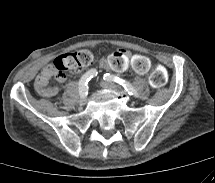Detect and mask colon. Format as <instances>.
<instances>
[{"label": "colon", "mask_w": 215, "mask_h": 183, "mask_svg": "<svg viewBox=\"0 0 215 183\" xmlns=\"http://www.w3.org/2000/svg\"><path fill=\"white\" fill-rule=\"evenodd\" d=\"M93 54L86 49L77 52H69L56 57L50 64L53 77L62 78L69 70H80L91 65ZM169 70L165 64L159 63L153 67L149 74V82L153 87H161L167 81Z\"/></svg>", "instance_id": "obj_1"}]
</instances>
